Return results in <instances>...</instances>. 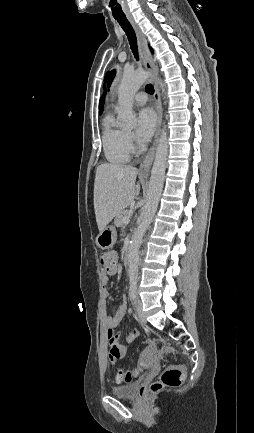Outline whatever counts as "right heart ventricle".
Listing matches in <instances>:
<instances>
[{
  "label": "right heart ventricle",
  "instance_id": "1",
  "mask_svg": "<svg viewBox=\"0 0 254 433\" xmlns=\"http://www.w3.org/2000/svg\"><path fill=\"white\" fill-rule=\"evenodd\" d=\"M126 130L120 127L113 115H107L103 121L102 146L104 155L112 164H124L130 160L131 148L126 137Z\"/></svg>",
  "mask_w": 254,
  "mask_h": 433
}]
</instances>
